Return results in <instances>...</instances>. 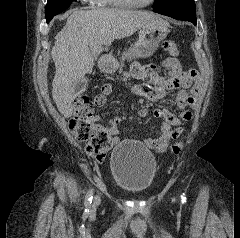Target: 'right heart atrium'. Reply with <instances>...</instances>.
I'll list each match as a JSON object with an SVG mask.
<instances>
[{
	"mask_svg": "<svg viewBox=\"0 0 240 238\" xmlns=\"http://www.w3.org/2000/svg\"><path fill=\"white\" fill-rule=\"evenodd\" d=\"M81 1L87 4H98L100 0H81Z\"/></svg>",
	"mask_w": 240,
	"mask_h": 238,
	"instance_id": "1",
	"label": "right heart atrium"
}]
</instances>
